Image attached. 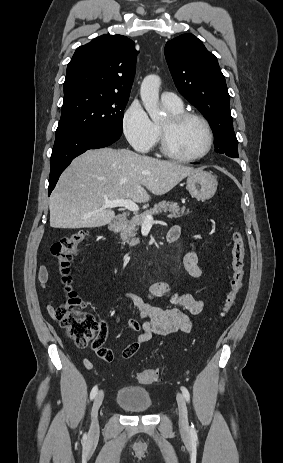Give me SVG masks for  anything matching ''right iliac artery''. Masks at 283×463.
Segmentation results:
<instances>
[{
	"label": "right iliac artery",
	"instance_id": "1",
	"mask_svg": "<svg viewBox=\"0 0 283 463\" xmlns=\"http://www.w3.org/2000/svg\"><path fill=\"white\" fill-rule=\"evenodd\" d=\"M97 391H98V387L97 386H94L91 390V393H90V399H94L96 394H97Z\"/></svg>",
	"mask_w": 283,
	"mask_h": 463
}]
</instances>
